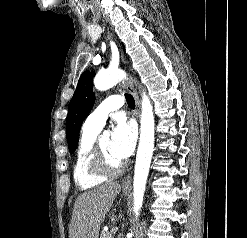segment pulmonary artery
Wrapping results in <instances>:
<instances>
[{
  "label": "pulmonary artery",
  "mask_w": 247,
  "mask_h": 238,
  "mask_svg": "<svg viewBox=\"0 0 247 238\" xmlns=\"http://www.w3.org/2000/svg\"><path fill=\"white\" fill-rule=\"evenodd\" d=\"M124 100L119 95H112L106 98L97 108L88 115L84 122V126L89 129L100 131L104 126L108 115L121 108Z\"/></svg>",
  "instance_id": "pulmonary-artery-1"
}]
</instances>
